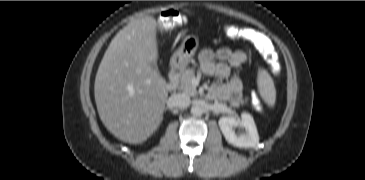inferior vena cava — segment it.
Listing matches in <instances>:
<instances>
[{"label": "inferior vena cava", "instance_id": "602c4592", "mask_svg": "<svg viewBox=\"0 0 365 180\" xmlns=\"http://www.w3.org/2000/svg\"><path fill=\"white\" fill-rule=\"evenodd\" d=\"M168 102H169L170 107L185 109L190 105L191 100L188 95H186L184 93H178V94H173L169 98Z\"/></svg>", "mask_w": 365, "mask_h": 180}]
</instances>
